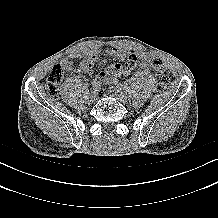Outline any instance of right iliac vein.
<instances>
[{"label": "right iliac vein", "mask_w": 218, "mask_h": 218, "mask_svg": "<svg viewBox=\"0 0 218 218\" xmlns=\"http://www.w3.org/2000/svg\"><path fill=\"white\" fill-rule=\"evenodd\" d=\"M97 98H98V96H97V94L96 93H92V94H90V97H89V104H93V103H95L96 101H97Z\"/></svg>", "instance_id": "obj_1"}]
</instances>
